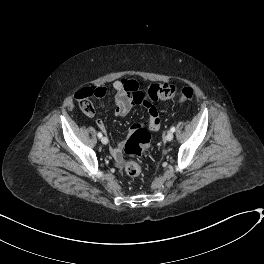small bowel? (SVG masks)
<instances>
[{
  "label": "small bowel",
  "instance_id": "1",
  "mask_svg": "<svg viewBox=\"0 0 264 264\" xmlns=\"http://www.w3.org/2000/svg\"><path fill=\"white\" fill-rule=\"evenodd\" d=\"M140 90V83L135 78L116 80L112 84V91L115 95V114L118 116H125L128 114L132 107L131 95ZM94 97L98 99L105 100L107 98V89L105 87L96 88L94 91ZM148 118L142 123L143 126L148 127L151 131H157L160 124L159 114L153 105H148ZM136 125L134 124L127 130L128 135L132 134L135 130ZM97 126L107 133V127L102 121L97 122ZM141 126V125H139ZM124 142L119 141L112 145L110 148V153L114 158L115 162L120 165L124 161V155L122 152Z\"/></svg>",
  "mask_w": 264,
  "mask_h": 264
}]
</instances>
